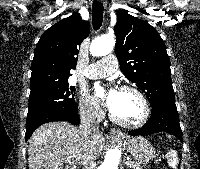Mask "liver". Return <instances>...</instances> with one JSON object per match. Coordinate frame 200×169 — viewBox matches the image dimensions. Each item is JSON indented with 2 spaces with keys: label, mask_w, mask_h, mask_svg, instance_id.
I'll return each mask as SVG.
<instances>
[{
  "label": "liver",
  "mask_w": 200,
  "mask_h": 169,
  "mask_svg": "<svg viewBox=\"0 0 200 169\" xmlns=\"http://www.w3.org/2000/svg\"><path fill=\"white\" fill-rule=\"evenodd\" d=\"M105 145L103 134L84 137L80 128L67 122H49L32 134L28 147L29 169H63L64 162L78 165L96 160Z\"/></svg>",
  "instance_id": "liver-1"
}]
</instances>
